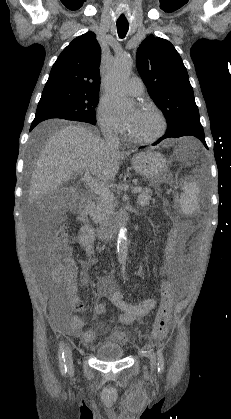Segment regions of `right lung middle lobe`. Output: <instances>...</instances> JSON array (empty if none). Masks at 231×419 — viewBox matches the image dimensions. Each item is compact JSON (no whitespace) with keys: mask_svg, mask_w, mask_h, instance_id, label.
I'll list each match as a JSON object with an SVG mask.
<instances>
[{"mask_svg":"<svg viewBox=\"0 0 231 419\" xmlns=\"http://www.w3.org/2000/svg\"><path fill=\"white\" fill-rule=\"evenodd\" d=\"M99 93L79 91L66 87H44L34 121L51 118L96 124L95 110Z\"/></svg>","mask_w":231,"mask_h":419,"instance_id":"dd1d6c3e","label":"right lung middle lobe"}]
</instances>
